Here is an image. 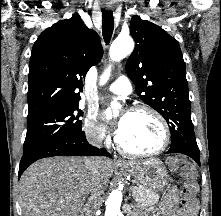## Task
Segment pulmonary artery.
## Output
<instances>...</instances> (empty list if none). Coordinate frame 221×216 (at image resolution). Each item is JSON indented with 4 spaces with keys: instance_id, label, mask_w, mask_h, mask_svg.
I'll return each mask as SVG.
<instances>
[{
    "instance_id": "obj_1",
    "label": "pulmonary artery",
    "mask_w": 221,
    "mask_h": 216,
    "mask_svg": "<svg viewBox=\"0 0 221 216\" xmlns=\"http://www.w3.org/2000/svg\"><path fill=\"white\" fill-rule=\"evenodd\" d=\"M108 91L117 95L126 96L132 92V86L126 76H120L109 85Z\"/></svg>"
}]
</instances>
